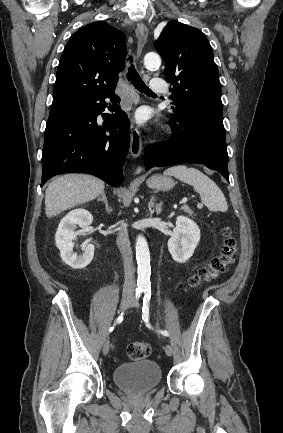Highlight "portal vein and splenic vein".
<instances>
[{
    "mask_svg": "<svg viewBox=\"0 0 283 433\" xmlns=\"http://www.w3.org/2000/svg\"><path fill=\"white\" fill-rule=\"evenodd\" d=\"M182 202H186V200H182Z\"/></svg>",
    "mask_w": 283,
    "mask_h": 433,
    "instance_id": "obj_1",
    "label": "portal vein and splenic vein"
}]
</instances>
